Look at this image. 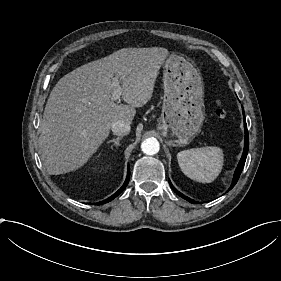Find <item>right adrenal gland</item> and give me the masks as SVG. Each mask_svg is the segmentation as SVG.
Returning a JSON list of instances; mask_svg holds the SVG:
<instances>
[{"label":"right adrenal gland","mask_w":281,"mask_h":281,"mask_svg":"<svg viewBox=\"0 0 281 281\" xmlns=\"http://www.w3.org/2000/svg\"><path fill=\"white\" fill-rule=\"evenodd\" d=\"M122 136H120V137H117V138H115V139H112V140H109V141H107V143L109 144V143H114V146L117 148L118 146H120V140H122ZM112 149H113V146L111 147Z\"/></svg>","instance_id":"2a0ac1e0"}]
</instances>
